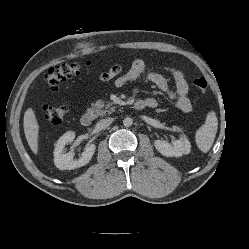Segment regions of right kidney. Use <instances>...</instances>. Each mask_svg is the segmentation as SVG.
<instances>
[{
	"label": "right kidney",
	"mask_w": 249,
	"mask_h": 249,
	"mask_svg": "<svg viewBox=\"0 0 249 249\" xmlns=\"http://www.w3.org/2000/svg\"><path fill=\"white\" fill-rule=\"evenodd\" d=\"M74 138V132H67L62 135L56 143L54 149V164L60 170H71L82 167L90 162L93 154L95 153V144H90L87 145L85 151L82 153V156L78 160L73 159V152H64V147L66 144L73 142Z\"/></svg>",
	"instance_id": "ca27d5eb"
}]
</instances>
